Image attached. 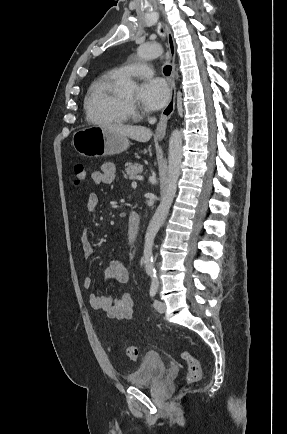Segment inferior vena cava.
<instances>
[{"label": "inferior vena cava", "mask_w": 287, "mask_h": 434, "mask_svg": "<svg viewBox=\"0 0 287 434\" xmlns=\"http://www.w3.org/2000/svg\"><path fill=\"white\" fill-rule=\"evenodd\" d=\"M148 121L150 124H154L156 122V118L155 117H150L148 118Z\"/></svg>", "instance_id": "obj_1"}]
</instances>
